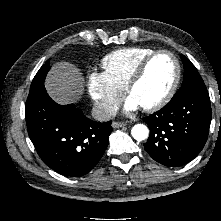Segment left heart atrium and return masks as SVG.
<instances>
[{
    "label": "left heart atrium",
    "instance_id": "39dd6f15",
    "mask_svg": "<svg viewBox=\"0 0 221 221\" xmlns=\"http://www.w3.org/2000/svg\"><path fill=\"white\" fill-rule=\"evenodd\" d=\"M140 106V104L133 98V97H129L126 102H125V111L126 112H131L136 110L138 107Z\"/></svg>",
    "mask_w": 221,
    "mask_h": 221
}]
</instances>
